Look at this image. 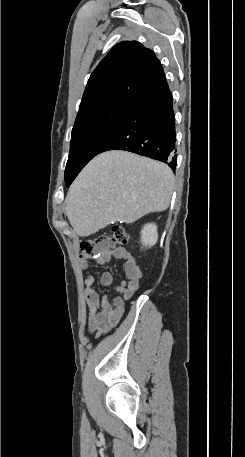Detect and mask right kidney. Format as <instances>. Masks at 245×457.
I'll return each instance as SVG.
<instances>
[{
	"instance_id": "ca27d5eb",
	"label": "right kidney",
	"mask_w": 245,
	"mask_h": 457,
	"mask_svg": "<svg viewBox=\"0 0 245 457\" xmlns=\"http://www.w3.org/2000/svg\"><path fill=\"white\" fill-rule=\"evenodd\" d=\"M158 241V233H157V226L154 222H149V224H145L141 231V243L144 247H152V245H156Z\"/></svg>"
}]
</instances>
